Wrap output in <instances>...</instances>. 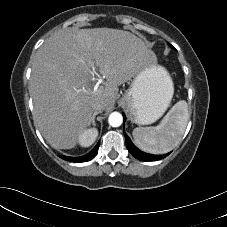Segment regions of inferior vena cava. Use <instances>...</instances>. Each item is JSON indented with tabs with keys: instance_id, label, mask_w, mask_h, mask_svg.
<instances>
[{
	"instance_id": "obj_1",
	"label": "inferior vena cava",
	"mask_w": 227,
	"mask_h": 227,
	"mask_svg": "<svg viewBox=\"0 0 227 227\" xmlns=\"http://www.w3.org/2000/svg\"><path fill=\"white\" fill-rule=\"evenodd\" d=\"M93 109L96 111H102L105 109V104L103 101L98 100L96 102L93 103Z\"/></svg>"
}]
</instances>
